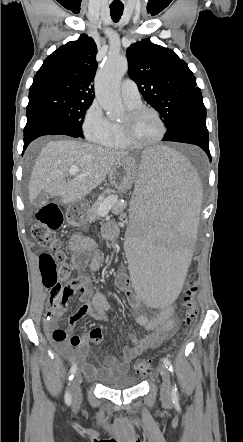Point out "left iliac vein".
<instances>
[{"label":"left iliac vein","mask_w":243,"mask_h":442,"mask_svg":"<svg viewBox=\"0 0 243 442\" xmlns=\"http://www.w3.org/2000/svg\"><path fill=\"white\" fill-rule=\"evenodd\" d=\"M159 371L162 376V385L160 388V396L163 402L169 403L171 401V379L170 374L164 365L159 366Z\"/></svg>","instance_id":"obj_1"}]
</instances>
